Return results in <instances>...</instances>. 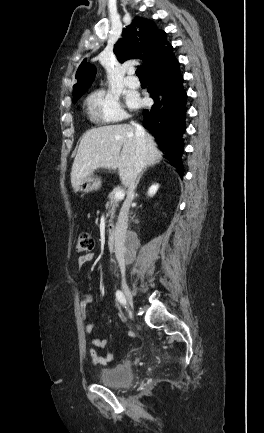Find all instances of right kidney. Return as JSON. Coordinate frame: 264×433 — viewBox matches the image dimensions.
<instances>
[{
	"instance_id": "obj_1",
	"label": "right kidney",
	"mask_w": 264,
	"mask_h": 433,
	"mask_svg": "<svg viewBox=\"0 0 264 433\" xmlns=\"http://www.w3.org/2000/svg\"><path fill=\"white\" fill-rule=\"evenodd\" d=\"M158 188H159L158 184H153L148 190V195L153 196L157 192Z\"/></svg>"
}]
</instances>
